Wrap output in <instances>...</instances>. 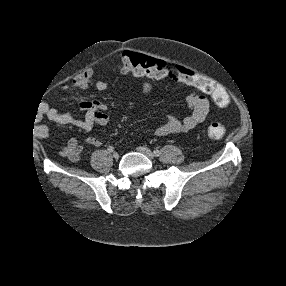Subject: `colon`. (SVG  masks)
Wrapping results in <instances>:
<instances>
[{"instance_id":"colon-1","label":"colon","mask_w":286,"mask_h":286,"mask_svg":"<svg viewBox=\"0 0 286 286\" xmlns=\"http://www.w3.org/2000/svg\"><path fill=\"white\" fill-rule=\"evenodd\" d=\"M117 71L120 73L147 75L152 78H176L191 83L199 90L209 94L220 108H225L229 104L227 92L213 80L185 68L171 67L160 60L143 54L129 51L123 52L119 57ZM91 77L92 71H85L77 75L65 89L85 88L90 83ZM206 134L211 139H222L226 134V126L220 122L210 123Z\"/></svg>"}]
</instances>
